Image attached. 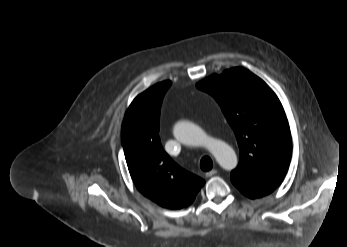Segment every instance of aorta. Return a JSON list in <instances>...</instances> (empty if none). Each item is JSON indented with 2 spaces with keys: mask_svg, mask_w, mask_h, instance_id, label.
<instances>
[{
  "mask_svg": "<svg viewBox=\"0 0 347 247\" xmlns=\"http://www.w3.org/2000/svg\"><path fill=\"white\" fill-rule=\"evenodd\" d=\"M174 137L185 145L204 146L225 170L236 168L238 159L231 146L222 140L209 137L199 126L189 121H179L173 128Z\"/></svg>",
  "mask_w": 347,
  "mask_h": 247,
  "instance_id": "obj_1",
  "label": "aorta"
}]
</instances>
